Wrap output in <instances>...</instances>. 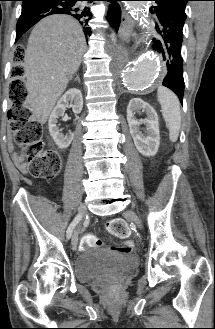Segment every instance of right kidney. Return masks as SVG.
<instances>
[{
    "mask_svg": "<svg viewBox=\"0 0 215 329\" xmlns=\"http://www.w3.org/2000/svg\"><path fill=\"white\" fill-rule=\"evenodd\" d=\"M67 107H71L74 114H79L83 108V97L79 89L72 88L58 100L56 107L53 109L49 121V133L55 144L60 149H66L74 138L73 133L64 135L58 127V118L62 117Z\"/></svg>",
    "mask_w": 215,
    "mask_h": 329,
    "instance_id": "1",
    "label": "right kidney"
}]
</instances>
